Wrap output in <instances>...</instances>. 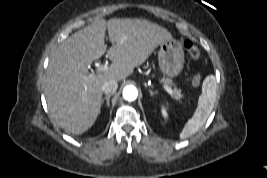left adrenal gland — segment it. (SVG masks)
<instances>
[{"instance_id":"1","label":"left adrenal gland","mask_w":267,"mask_h":178,"mask_svg":"<svg viewBox=\"0 0 267 178\" xmlns=\"http://www.w3.org/2000/svg\"><path fill=\"white\" fill-rule=\"evenodd\" d=\"M149 92H150V95H151V96L154 95V92H153L151 89H149Z\"/></svg>"}]
</instances>
